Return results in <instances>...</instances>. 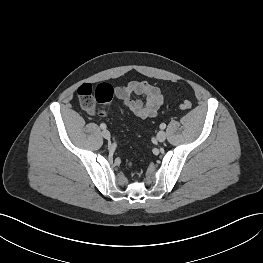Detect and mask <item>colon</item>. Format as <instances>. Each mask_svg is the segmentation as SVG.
Listing matches in <instances>:
<instances>
[{
    "instance_id": "1",
    "label": "colon",
    "mask_w": 263,
    "mask_h": 263,
    "mask_svg": "<svg viewBox=\"0 0 263 263\" xmlns=\"http://www.w3.org/2000/svg\"><path fill=\"white\" fill-rule=\"evenodd\" d=\"M114 95V90L111 85L107 83L99 84L96 87H93L91 84H81L77 89V98L79 101V104L82 108L89 110L91 108H94L95 103H108L112 100ZM181 109H190L192 107V104L188 100H184L180 103ZM103 115V114H102ZM129 168H134L135 163L129 162L128 163Z\"/></svg>"
}]
</instances>
